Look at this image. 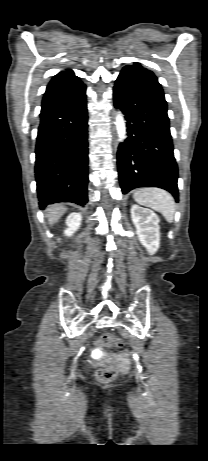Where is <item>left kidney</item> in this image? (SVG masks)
I'll list each match as a JSON object with an SVG mask.
<instances>
[{
  "label": "left kidney",
  "instance_id": "left-kidney-1",
  "mask_svg": "<svg viewBox=\"0 0 208 461\" xmlns=\"http://www.w3.org/2000/svg\"><path fill=\"white\" fill-rule=\"evenodd\" d=\"M131 218L139 241L149 254H154L160 246L159 217L152 210L133 204Z\"/></svg>",
  "mask_w": 208,
  "mask_h": 461
}]
</instances>
